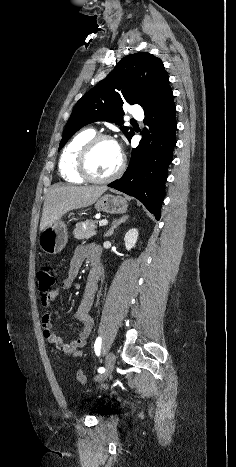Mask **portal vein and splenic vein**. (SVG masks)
<instances>
[{
  "label": "portal vein and splenic vein",
  "instance_id": "1",
  "mask_svg": "<svg viewBox=\"0 0 236 467\" xmlns=\"http://www.w3.org/2000/svg\"><path fill=\"white\" fill-rule=\"evenodd\" d=\"M107 224H108V221H107V220H101V221L99 222V226H100V227H101V226H105V225H107Z\"/></svg>",
  "mask_w": 236,
  "mask_h": 467
}]
</instances>
